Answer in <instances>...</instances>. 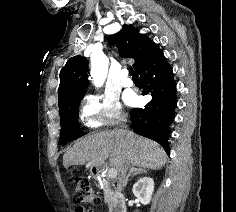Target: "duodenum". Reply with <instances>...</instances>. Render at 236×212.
Listing matches in <instances>:
<instances>
[{
    "label": "duodenum",
    "instance_id": "1",
    "mask_svg": "<svg viewBox=\"0 0 236 212\" xmlns=\"http://www.w3.org/2000/svg\"><path fill=\"white\" fill-rule=\"evenodd\" d=\"M101 173V169H96L94 171L95 175H100ZM110 212H126L125 197L118 189H115L114 191Z\"/></svg>",
    "mask_w": 236,
    "mask_h": 212
}]
</instances>
